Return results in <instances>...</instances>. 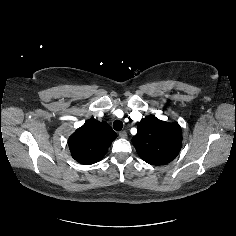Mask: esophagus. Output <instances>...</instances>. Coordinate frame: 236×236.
<instances>
[{
    "label": "esophagus",
    "mask_w": 236,
    "mask_h": 236,
    "mask_svg": "<svg viewBox=\"0 0 236 236\" xmlns=\"http://www.w3.org/2000/svg\"><path fill=\"white\" fill-rule=\"evenodd\" d=\"M119 136H120L121 138H127V133H126V131H120V132H119Z\"/></svg>",
    "instance_id": "34e87169"
}]
</instances>
